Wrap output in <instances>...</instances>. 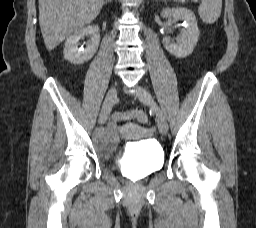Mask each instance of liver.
Segmentation results:
<instances>
[{"label": "liver", "instance_id": "1", "mask_svg": "<svg viewBox=\"0 0 256 228\" xmlns=\"http://www.w3.org/2000/svg\"><path fill=\"white\" fill-rule=\"evenodd\" d=\"M104 0H39V24L48 51L91 23Z\"/></svg>", "mask_w": 256, "mask_h": 228}]
</instances>
